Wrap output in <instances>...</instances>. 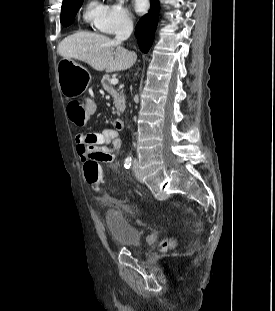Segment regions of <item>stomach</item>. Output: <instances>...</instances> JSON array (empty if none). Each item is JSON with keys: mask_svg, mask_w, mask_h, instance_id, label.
<instances>
[{"mask_svg": "<svg viewBox=\"0 0 275 311\" xmlns=\"http://www.w3.org/2000/svg\"><path fill=\"white\" fill-rule=\"evenodd\" d=\"M58 85L66 97H76L84 93L91 82L87 69L72 59L63 58L57 66Z\"/></svg>", "mask_w": 275, "mask_h": 311, "instance_id": "0dacf381", "label": "stomach"}]
</instances>
